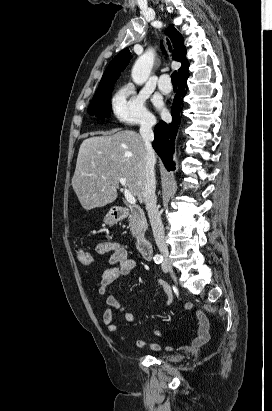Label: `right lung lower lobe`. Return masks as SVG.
Listing matches in <instances>:
<instances>
[{"instance_id":"obj_1","label":"right lung lower lobe","mask_w":272,"mask_h":411,"mask_svg":"<svg viewBox=\"0 0 272 411\" xmlns=\"http://www.w3.org/2000/svg\"><path fill=\"white\" fill-rule=\"evenodd\" d=\"M179 79V87L177 94L173 100L171 108L172 122L165 123L160 121L154 129L155 139L152 143L154 150L162 159L168 171L175 169L173 162L174 141L177 135L180 112L182 109L183 97L187 92V78Z\"/></svg>"}]
</instances>
